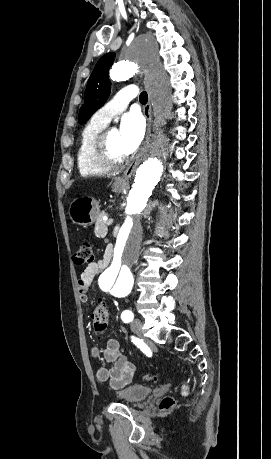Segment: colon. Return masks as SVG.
Instances as JSON below:
<instances>
[{
	"label": "colon",
	"mask_w": 271,
	"mask_h": 459,
	"mask_svg": "<svg viewBox=\"0 0 271 459\" xmlns=\"http://www.w3.org/2000/svg\"><path fill=\"white\" fill-rule=\"evenodd\" d=\"M73 261L76 265H83L85 263H91L94 261V253L90 243L84 242L81 244L77 252L73 256ZM109 313L106 302H99L92 314H91V324L93 330L96 334L102 335L107 331L108 328ZM183 394L188 393V387L186 385L182 386ZM175 404V401L171 397H166L161 402V408L163 410H168L172 408Z\"/></svg>",
	"instance_id": "colon-1"
}]
</instances>
